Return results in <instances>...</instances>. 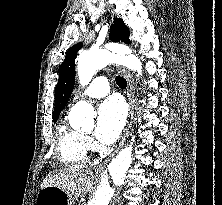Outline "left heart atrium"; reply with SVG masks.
Returning <instances> with one entry per match:
<instances>
[{
  "mask_svg": "<svg viewBox=\"0 0 222 205\" xmlns=\"http://www.w3.org/2000/svg\"><path fill=\"white\" fill-rule=\"evenodd\" d=\"M125 121L124 103L117 97L108 98L98 108L96 138L103 144L115 142L123 130Z\"/></svg>",
  "mask_w": 222,
  "mask_h": 205,
  "instance_id": "1",
  "label": "left heart atrium"
}]
</instances>
